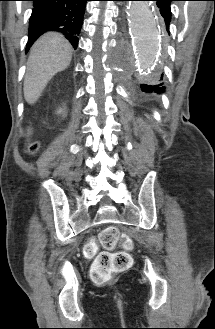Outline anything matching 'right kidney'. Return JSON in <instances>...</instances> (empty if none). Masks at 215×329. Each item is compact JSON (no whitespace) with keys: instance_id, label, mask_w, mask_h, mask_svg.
Returning a JSON list of instances; mask_svg holds the SVG:
<instances>
[{"instance_id":"right-kidney-1","label":"right kidney","mask_w":215,"mask_h":329,"mask_svg":"<svg viewBox=\"0 0 215 329\" xmlns=\"http://www.w3.org/2000/svg\"><path fill=\"white\" fill-rule=\"evenodd\" d=\"M57 113H58V114H61V113L64 114V111H63V109H59V110L57 111Z\"/></svg>"}]
</instances>
